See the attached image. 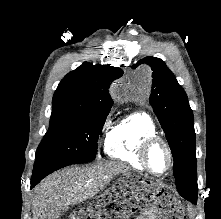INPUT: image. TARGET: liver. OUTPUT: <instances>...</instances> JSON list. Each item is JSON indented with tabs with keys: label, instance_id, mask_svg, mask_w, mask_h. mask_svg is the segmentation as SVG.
<instances>
[{
	"label": "liver",
	"instance_id": "liver-1",
	"mask_svg": "<svg viewBox=\"0 0 221 219\" xmlns=\"http://www.w3.org/2000/svg\"><path fill=\"white\" fill-rule=\"evenodd\" d=\"M127 167L119 162L72 167L53 173L34 189L33 219H58L70 206L94 197Z\"/></svg>",
	"mask_w": 221,
	"mask_h": 219
}]
</instances>
